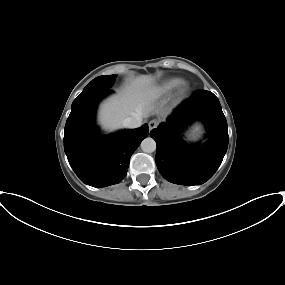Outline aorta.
<instances>
[{"mask_svg": "<svg viewBox=\"0 0 285 285\" xmlns=\"http://www.w3.org/2000/svg\"><path fill=\"white\" fill-rule=\"evenodd\" d=\"M141 149L145 153H152L156 150V142L153 138L147 137L141 142Z\"/></svg>", "mask_w": 285, "mask_h": 285, "instance_id": "aorta-1", "label": "aorta"}]
</instances>
